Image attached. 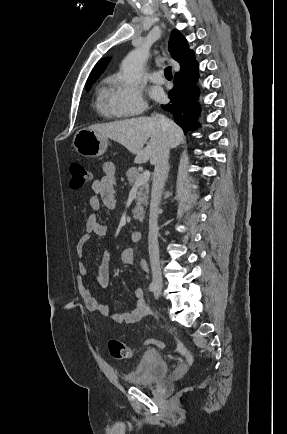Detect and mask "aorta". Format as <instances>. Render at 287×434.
<instances>
[{
	"mask_svg": "<svg viewBox=\"0 0 287 434\" xmlns=\"http://www.w3.org/2000/svg\"><path fill=\"white\" fill-rule=\"evenodd\" d=\"M148 56L149 50L144 46L136 48L126 56L121 66L123 79L126 83L134 84L136 82Z\"/></svg>",
	"mask_w": 287,
	"mask_h": 434,
	"instance_id": "obj_1",
	"label": "aorta"
}]
</instances>
